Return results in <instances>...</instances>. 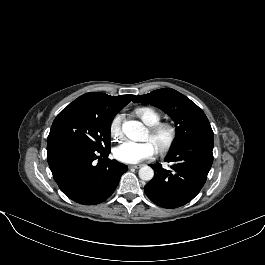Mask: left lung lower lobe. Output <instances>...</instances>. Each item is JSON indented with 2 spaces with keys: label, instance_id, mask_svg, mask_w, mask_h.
Segmentation results:
<instances>
[{
  "label": "left lung lower lobe",
  "instance_id": "1",
  "mask_svg": "<svg viewBox=\"0 0 265 265\" xmlns=\"http://www.w3.org/2000/svg\"><path fill=\"white\" fill-rule=\"evenodd\" d=\"M213 131L197 134L172 150L166 161L151 165L155 175L144 187L148 198L163 208H177L190 202L204 186L213 163Z\"/></svg>",
  "mask_w": 265,
  "mask_h": 265
}]
</instances>
